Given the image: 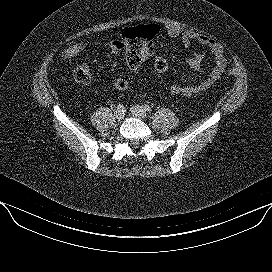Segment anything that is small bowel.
<instances>
[{
    "label": "small bowel",
    "instance_id": "1",
    "mask_svg": "<svg viewBox=\"0 0 272 272\" xmlns=\"http://www.w3.org/2000/svg\"><path fill=\"white\" fill-rule=\"evenodd\" d=\"M166 33L171 38H180L184 47L188 48L192 42L205 46L214 59V66L206 78L192 84L174 83L170 87L173 95L195 96L207 91L222 75L227 65L223 46L217 41L189 30H182L176 26L166 27ZM109 49L116 54L125 56L127 66L131 70L139 69L152 54V47H146L141 39L136 37L133 28L124 27L117 38L107 39ZM204 55L193 53L187 59L189 67L196 71H203Z\"/></svg>",
    "mask_w": 272,
    "mask_h": 272
}]
</instances>
